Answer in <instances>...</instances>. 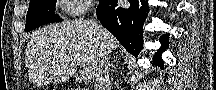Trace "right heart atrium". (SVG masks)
Masks as SVG:
<instances>
[{"mask_svg":"<svg viewBox=\"0 0 216 90\" xmlns=\"http://www.w3.org/2000/svg\"><path fill=\"white\" fill-rule=\"evenodd\" d=\"M93 0H66L65 6H69L68 14L70 16L78 15L77 12H86L88 6H94Z\"/></svg>","mask_w":216,"mask_h":90,"instance_id":"1","label":"right heart atrium"}]
</instances>
